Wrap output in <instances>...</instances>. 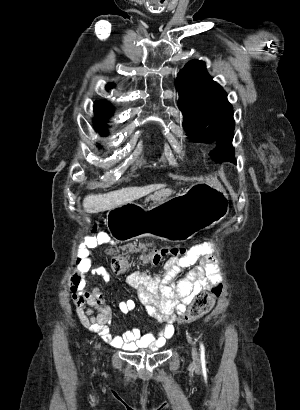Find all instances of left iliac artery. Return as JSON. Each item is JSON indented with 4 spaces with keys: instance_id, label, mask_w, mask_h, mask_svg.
I'll return each instance as SVG.
<instances>
[{
    "instance_id": "left-iliac-artery-1",
    "label": "left iliac artery",
    "mask_w": 300,
    "mask_h": 410,
    "mask_svg": "<svg viewBox=\"0 0 300 410\" xmlns=\"http://www.w3.org/2000/svg\"><path fill=\"white\" fill-rule=\"evenodd\" d=\"M200 351H201V360L204 361L205 360V348L204 345L202 343H200Z\"/></svg>"
}]
</instances>
